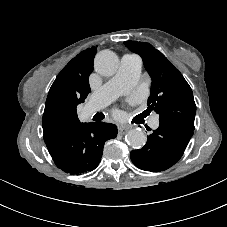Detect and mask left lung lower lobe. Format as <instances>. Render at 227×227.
Masks as SVG:
<instances>
[{
  "label": "left lung lower lobe",
  "mask_w": 227,
  "mask_h": 227,
  "mask_svg": "<svg viewBox=\"0 0 227 227\" xmlns=\"http://www.w3.org/2000/svg\"><path fill=\"white\" fill-rule=\"evenodd\" d=\"M192 136L193 130L160 121L159 127L148 136L145 146L131 151V160L145 171L166 170L179 161Z\"/></svg>",
  "instance_id": "obj_1"
}]
</instances>
